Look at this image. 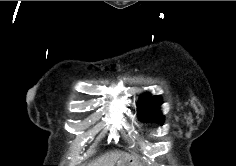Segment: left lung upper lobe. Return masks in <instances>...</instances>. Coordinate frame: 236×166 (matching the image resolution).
<instances>
[{"label":"left lung upper lobe","instance_id":"obj_1","mask_svg":"<svg viewBox=\"0 0 236 166\" xmlns=\"http://www.w3.org/2000/svg\"><path fill=\"white\" fill-rule=\"evenodd\" d=\"M162 104L160 96H153L149 93H144L138 101V116L143 122L163 123L164 116L159 111V106Z\"/></svg>","mask_w":236,"mask_h":166}]
</instances>
